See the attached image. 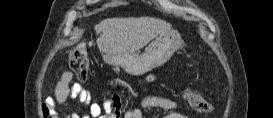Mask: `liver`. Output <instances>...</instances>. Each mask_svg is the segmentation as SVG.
<instances>
[{
    "mask_svg": "<svg viewBox=\"0 0 273 118\" xmlns=\"http://www.w3.org/2000/svg\"><path fill=\"white\" fill-rule=\"evenodd\" d=\"M171 29V24L152 17L139 18H107L95 26L97 45L101 52L110 55L133 53L153 40L160 33ZM72 79L70 72L62 75L55 88V96L59 103L65 102L68 84Z\"/></svg>",
    "mask_w": 273,
    "mask_h": 118,
    "instance_id": "1",
    "label": "liver"
}]
</instances>
